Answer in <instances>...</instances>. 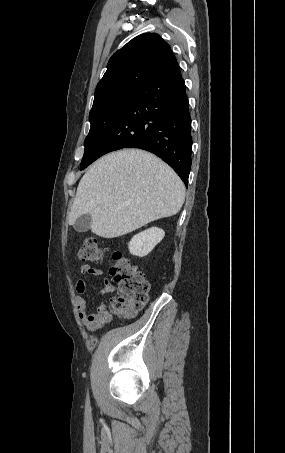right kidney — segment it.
Returning <instances> with one entry per match:
<instances>
[{"mask_svg":"<svg viewBox=\"0 0 285 453\" xmlns=\"http://www.w3.org/2000/svg\"><path fill=\"white\" fill-rule=\"evenodd\" d=\"M165 232L157 227L149 228L135 235L128 244L132 255L144 257L164 238Z\"/></svg>","mask_w":285,"mask_h":453,"instance_id":"right-kidney-1","label":"right kidney"}]
</instances>
